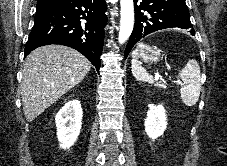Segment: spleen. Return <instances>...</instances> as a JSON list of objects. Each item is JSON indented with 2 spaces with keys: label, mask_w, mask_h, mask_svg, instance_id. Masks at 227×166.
Here are the masks:
<instances>
[{
  "label": "spleen",
  "mask_w": 227,
  "mask_h": 166,
  "mask_svg": "<svg viewBox=\"0 0 227 166\" xmlns=\"http://www.w3.org/2000/svg\"><path fill=\"white\" fill-rule=\"evenodd\" d=\"M131 64L132 73L137 80L150 84L154 83V79L138 61L137 49L132 52ZM178 78L183 82V86L180 89L182 102L187 106L195 105L201 90V75L198 62L194 59L188 60L187 64L179 71Z\"/></svg>",
  "instance_id": "obj_1"
}]
</instances>
